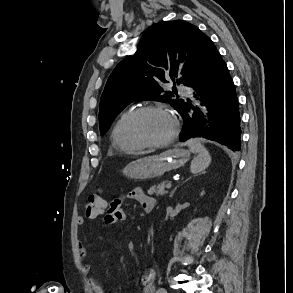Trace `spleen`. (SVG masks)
I'll return each mask as SVG.
<instances>
[{
  "instance_id": "obj_1",
  "label": "spleen",
  "mask_w": 293,
  "mask_h": 293,
  "mask_svg": "<svg viewBox=\"0 0 293 293\" xmlns=\"http://www.w3.org/2000/svg\"><path fill=\"white\" fill-rule=\"evenodd\" d=\"M187 143L190 151L197 155L191 162V172L194 174L203 172L211 163L208 150L201 144L200 139H190Z\"/></svg>"
}]
</instances>
